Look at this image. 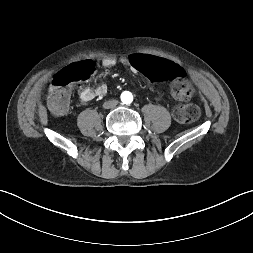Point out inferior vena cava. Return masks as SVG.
Here are the masks:
<instances>
[{
  "instance_id": "obj_1",
  "label": "inferior vena cava",
  "mask_w": 253,
  "mask_h": 253,
  "mask_svg": "<svg viewBox=\"0 0 253 253\" xmlns=\"http://www.w3.org/2000/svg\"><path fill=\"white\" fill-rule=\"evenodd\" d=\"M117 104H118V101L115 100V99H113V100H109V101L105 102V103L103 104V107H104L105 109H109V108L115 107Z\"/></svg>"
}]
</instances>
